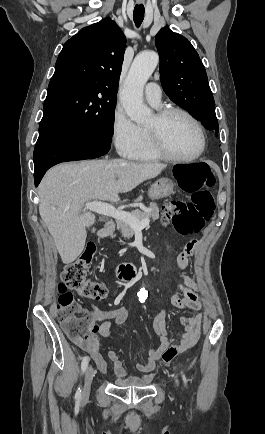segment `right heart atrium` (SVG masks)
Returning <instances> with one entry per match:
<instances>
[{
  "mask_svg": "<svg viewBox=\"0 0 265 434\" xmlns=\"http://www.w3.org/2000/svg\"><path fill=\"white\" fill-rule=\"evenodd\" d=\"M115 113L116 115L111 118L112 123L110 125L113 134L112 147L118 148L120 159H129L131 154H135L137 151L136 146L132 144L139 140V133L142 128L136 125L134 119L130 118L125 106H116Z\"/></svg>",
  "mask_w": 265,
  "mask_h": 434,
  "instance_id": "d8ad5b80",
  "label": "right heart atrium"
}]
</instances>
